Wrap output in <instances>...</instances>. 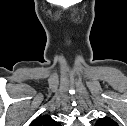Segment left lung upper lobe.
I'll return each instance as SVG.
<instances>
[{
    "label": "left lung upper lobe",
    "mask_w": 127,
    "mask_h": 126,
    "mask_svg": "<svg viewBox=\"0 0 127 126\" xmlns=\"http://www.w3.org/2000/svg\"><path fill=\"white\" fill-rule=\"evenodd\" d=\"M95 126H118V124L109 117H103L96 122Z\"/></svg>",
    "instance_id": "1"
}]
</instances>
